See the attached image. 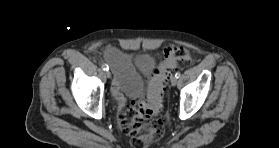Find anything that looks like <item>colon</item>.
Returning a JSON list of instances; mask_svg holds the SVG:
<instances>
[{
    "label": "colon",
    "instance_id": "1",
    "mask_svg": "<svg viewBox=\"0 0 279 148\" xmlns=\"http://www.w3.org/2000/svg\"><path fill=\"white\" fill-rule=\"evenodd\" d=\"M192 61L188 49L177 45L167 47L163 62L151 75L146 98L132 102L121 111V129L131 137L133 148H147L162 138L164 122L156 115L161 109L170 76L180 62Z\"/></svg>",
    "mask_w": 279,
    "mask_h": 148
}]
</instances>
